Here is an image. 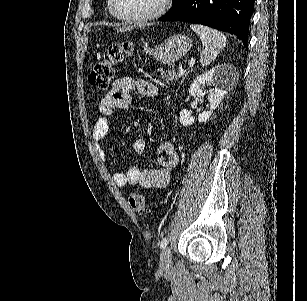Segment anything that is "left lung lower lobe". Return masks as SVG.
<instances>
[{
    "label": "left lung lower lobe",
    "instance_id": "1",
    "mask_svg": "<svg viewBox=\"0 0 307 301\" xmlns=\"http://www.w3.org/2000/svg\"><path fill=\"white\" fill-rule=\"evenodd\" d=\"M254 0H181L160 21H187L235 35L247 47Z\"/></svg>",
    "mask_w": 307,
    "mask_h": 301
}]
</instances>
